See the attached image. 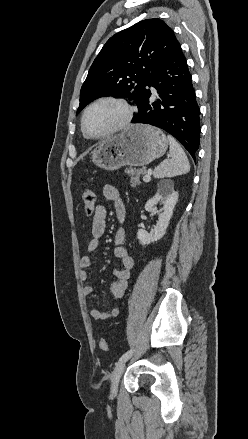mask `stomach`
Instances as JSON below:
<instances>
[{
  "mask_svg": "<svg viewBox=\"0 0 248 439\" xmlns=\"http://www.w3.org/2000/svg\"><path fill=\"white\" fill-rule=\"evenodd\" d=\"M168 147L165 134L144 124L131 125L114 137L101 141L92 151V162L114 171L122 166L141 167L164 155Z\"/></svg>",
  "mask_w": 248,
  "mask_h": 439,
  "instance_id": "0dacf381",
  "label": "stomach"
}]
</instances>
